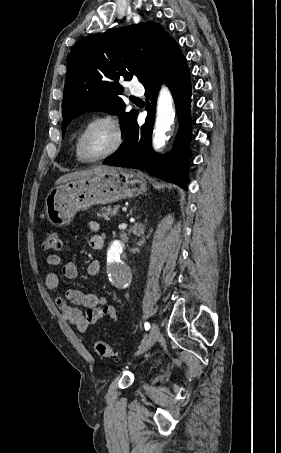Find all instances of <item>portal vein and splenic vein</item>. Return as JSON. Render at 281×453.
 <instances>
[{
    "mask_svg": "<svg viewBox=\"0 0 281 453\" xmlns=\"http://www.w3.org/2000/svg\"><path fill=\"white\" fill-rule=\"evenodd\" d=\"M120 210H121V212H123V213H124V212H127V207H124V206H123V207H121Z\"/></svg>",
    "mask_w": 281,
    "mask_h": 453,
    "instance_id": "18ae733b",
    "label": "portal vein and splenic vein"
}]
</instances>
